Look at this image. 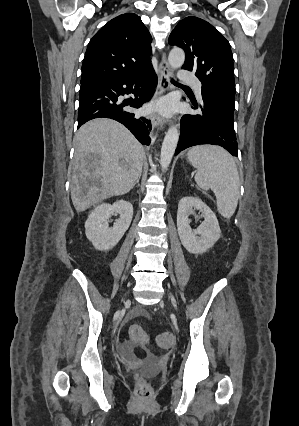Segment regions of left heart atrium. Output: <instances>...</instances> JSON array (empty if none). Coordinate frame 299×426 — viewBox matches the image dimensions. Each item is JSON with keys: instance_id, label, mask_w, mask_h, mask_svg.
Segmentation results:
<instances>
[{"instance_id": "1", "label": "left heart atrium", "mask_w": 299, "mask_h": 426, "mask_svg": "<svg viewBox=\"0 0 299 426\" xmlns=\"http://www.w3.org/2000/svg\"><path fill=\"white\" fill-rule=\"evenodd\" d=\"M155 107L165 115H170L173 110L172 102L169 99L161 100Z\"/></svg>"}]
</instances>
